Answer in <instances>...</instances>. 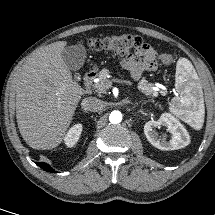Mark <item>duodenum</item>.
I'll return each instance as SVG.
<instances>
[{"label": "duodenum", "instance_id": "duodenum-1", "mask_svg": "<svg viewBox=\"0 0 215 215\" xmlns=\"http://www.w3.org/2000/svg\"><path fill=\"white\" fill-rule=\"evenodd\" d=\"M95 77H96V72L94 70H90L84 75L83 87L85 92L88 91Z\"/></svg>", "mask_w": 215, "mask_h": 215}]
</instances>
